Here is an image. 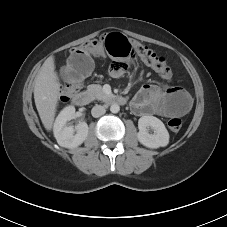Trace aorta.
I'll return each instance as SVG.
<instances>
[{"mask_svg":"<svg viewBox=\"0 0 227 227\" xmlns=\"http://www.w3.org/2000/svg\"><path fill=\"white\" fill-rule=\"evenodd\" d=\"M110 111L112 113H118L120 111V106L118 104L114 103L110 106Z\"/></svg>","mask_w":227,"mask_h":227,"instance_id":"obj_1","label":"aorta"}]
</instances>
